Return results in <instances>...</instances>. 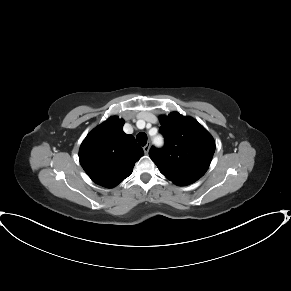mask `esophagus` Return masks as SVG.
Here are the masks:
<instances>
[{
  "label": "esophagus",
  "instance_id": "34e87169",
  "mask_svg": "<svg viewBox=\"0 0 291 291\" xmlns=\"http://www.w3.org/2000/svg\"><path fill=\"white\" fill-rule=\"evenodd\" d=\"M149 149H150V146H149L148 144H147L146 146H144V147H143L144 153H145V154H148Z\"/></svg>",
  "mask_w": 291,
  "mask_h": 291
}]
</instances>
